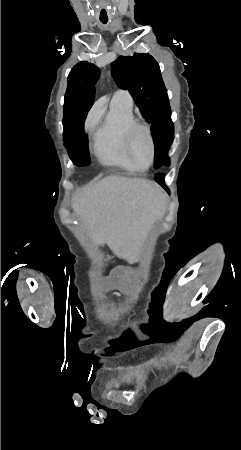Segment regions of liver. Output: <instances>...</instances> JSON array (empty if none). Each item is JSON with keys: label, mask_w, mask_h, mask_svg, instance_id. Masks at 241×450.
<instances>
[{"label": "liver", "mask_w": 241, "mask_h": 450, "mask_svg": "<svg viewBox=\"0 0 241 450\" xmlns=\"http://www.w3.org/2000/svg\"><path fill=\"white\" fill-rule=\"evenodd\" d=\"M72 208L96 246L117 250L122 230L136 220L149 222L166 200L164 190L149 180L106 176L97 184L77 190Z\"/></svg>", "instance_id": "6515ba94"}]
</instances>
